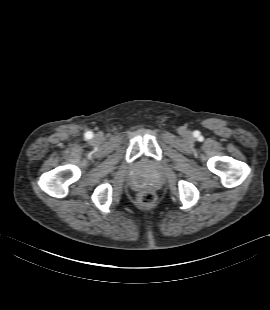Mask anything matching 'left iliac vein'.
<instances>
[{"label":"left iliac vein","mask_w":270,"mask_h":310,"mask_svg":"<svg viewBox=\"0 0 270 310\" xmlns=\"http://www.w3.org/2000/svg\"><path fill=\"white\" fill-rule=\"evenodd\" d=\"M183 136H184V137H189V136H190V133L186 131V132L183 133Z\"/></svg>","instance_id":"left-iliac-vein-1"}]
</instances>
